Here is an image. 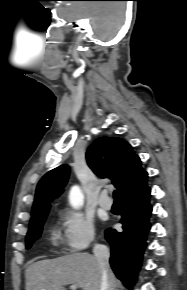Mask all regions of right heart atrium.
I'll return each instance as SVG.
<instances>
[{
    "mask_svg": "<svg viewBox=\"0 0 187 290\" xmlns=\"http://www.w3.org/2000/svg\"><path fill=\"white\" fill-rule=\"evenodd\" d=\"M63 241L69 252H80L95 241V228L90 217L79 211L61 214Z\"/></svg>",
    "mask_w": 187,
    "mask_h": 290,
    "instance_id": "right-heart-atrium-1",
    "label": "right heart atrium"
}]
</instances>
